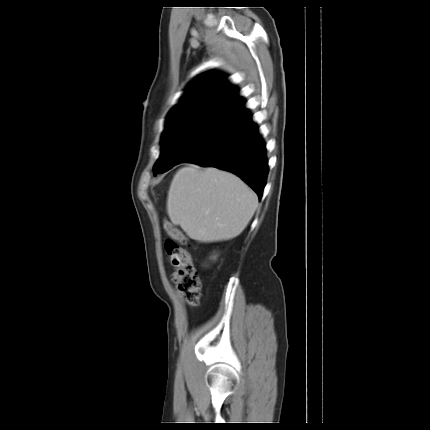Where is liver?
I'll return each instance as SVG.
<instances>
[{"label":"liver","instance_id":"liver-1","mask_svg":"<svg viewBox=\"0 0 430 430\" xmlns=\"http://www.w3.org/2000/svg\"><path fill=\"white\" fill-rule=\"evenodd\" d=\"M257 206V195L238 176L195 164L177 171L167 198L172 223L200 242L237 237Z\"/></svg>","mask_w":430,"mask_h":430}]
</instances>
